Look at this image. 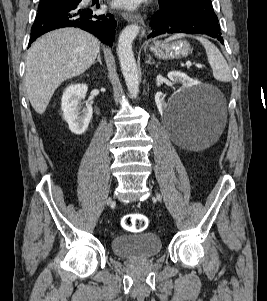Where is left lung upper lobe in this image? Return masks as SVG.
Returning a JSON list of instances; mask_svg holds the SVG:
<instances>
[{
	"label": "left lung upper lobe",
	"instance_id": "5c2ea615",
	"mask_svg": "<svg viewBox=\"0 0 267 301\" xmlns=\"http://www.w3.org/2000/svg\"><path fill=\"white\" fill-rule=\"evenodd\" d=\"M159 6L165 9L186 10L208 21L218 23L211 0H159Z\"/></svg>",
	"mask_w": 267,
	"mask_h": 301
}]
</instances>
